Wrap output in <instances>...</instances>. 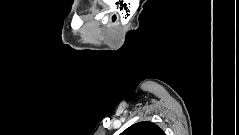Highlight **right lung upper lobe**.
<instances>
[{"instance_id": "cb5924a9", "label": "right lung upper lobe", "mask_w": 239, "mask_h": 135, "mask_svg": "<svg viewBox=\"0 0 239 135\" xmlns=\"http://www.w3.org/2000/svg\"><path fill=\"white\" fill-rule=\"evenodd\" d=\"M121 135H165L162 129L152 122H139L127 128Z\"/></svg>"}]
</instances>
